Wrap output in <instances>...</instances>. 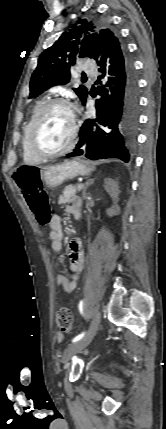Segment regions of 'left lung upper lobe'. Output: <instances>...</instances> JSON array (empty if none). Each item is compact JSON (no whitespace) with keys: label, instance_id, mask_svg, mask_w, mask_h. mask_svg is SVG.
<instances>
[{"label":"left lung upper lobe","instance_id":"5c2ea615","mask_svg":"<svg viewBox=\"0 0 166 429\" xmlns=\"http://www.w3.org/2000/svg\"><path fill=\"white\" fill-rule=\"evenodd\" d=\"M118 36L109 28H100L93 22L80 20L64 33L38 59V66L30 81L29 98H35L55 85H64L70 80V66L77 58H96L97 45L111 44ZM83 103L88 91L84 86L73 89Z\"/></svg>","mask_w":166,"mask_h":429}]
</instances>
